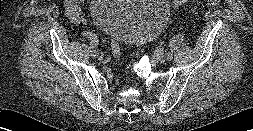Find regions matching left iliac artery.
Instances as JSON below:
<instances>
[{"mask_svg":"<svg viewBox=\"0 0 253 131\" xmlns=\"http://www.w3.org/2000/svg\"><path fill=\"white\" fill-rule=\"evenodd\" d=\"M157 50H158L159 52H162V51L164 50V47H163L162 45H159V46L157 47Z\"/></svg>","mask_w":253,"mask_h":131,"instance_id":"44dca946","label":"left iliac artery"}]
</instances>
